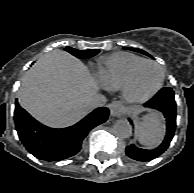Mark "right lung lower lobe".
<instances>
[{
    "mask_svg": "<svg viewBox=\"0 0 194 193\" xmlns=\"http://www.w3.org/2000/svg\"><path fill=\"white\" fill-rule=\"evenodd\" d=\"M109 115L105 107L97 108L77 124L65 129H52L40 124L16 99L15 127L25 148L37 159L57 161L77 154L88 132L104 123Z\"/></svg>",
    "mask_w": 194,
    "mask_h": 193,
    "instance_id": "98d812e1",
    "label": "right lung lower lobe"
}]
</instances>
